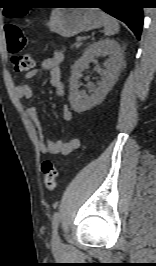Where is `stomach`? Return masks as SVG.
I'll list each match as a JSON object with an SVG mask.
<instances>
[{
    "mask_svg": "<svg viewBox=\"0 0 156 266\" xmlns=\"http://www.w3.org/2000/svg\"><path fill=\"white\" fill-rule=\"evenodd\" d=\"M66 5L79 4L68 2ZM47 25L52 32L71 37L103 26L104 20L99 9L57 8L52 11Z\"/></svg>",
    "mask_w": 156,
    "mask_h": 266,
    "instance_id": "obj_1",
    "label": "stomach"
}]
</instances>
